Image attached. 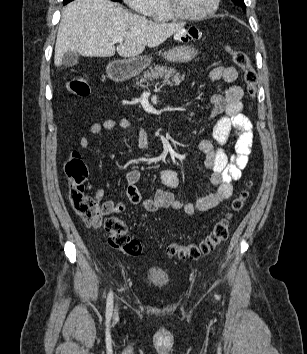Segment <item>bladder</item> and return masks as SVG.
Returning a JSON list of instances; mask_svg holds the SVG:
<instances>
[{
	"mask_svg": "<svg viewBox=\"0 0 307 354\" xmlns=\"http://www.w3.org/2000/svg\"><path fill=\"white\" fill-rule=\"evenodd\" d=\"M146 278L156 286H164L170 281L169 272L161 267L150 268L146 273Z\"/></svg>",
	"mask_w": 307,
	"mask_h": 354,
	"instance_id": "31cf9c89",
	"label": "bladder"
}]
</instances>
